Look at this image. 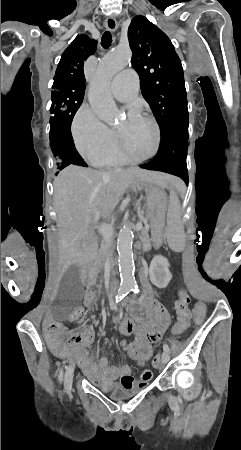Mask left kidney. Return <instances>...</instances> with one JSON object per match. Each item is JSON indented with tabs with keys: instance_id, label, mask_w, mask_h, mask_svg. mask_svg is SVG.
I'll use <instances>...</instances> for the list:
<instances>
[{
	"instance_id": "left-kidney-1",
	"label": "left kidney",
	"mask_w": 241,
	"mask_h": 450,
	"mask_svg": "<svg viewBox=\"0 0 241 450\" xmlns=\"http://www.w3.org/2000/svg\"><path fill=\"white\" fill-rule=\"evenodd\" d=\"M149 276L156 288H166L172 278L168 260L163 256H154L150 264Z\"/></svg>"
}]
</instances>
